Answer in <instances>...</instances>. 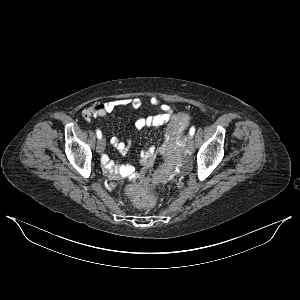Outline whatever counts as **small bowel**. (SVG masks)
<instances>
[{
  "label": "small bowel",
  "instance_id": "small-bowel-1",
  "mask_svg": "<svg viewBox=\"0 0 300 300\" xmlns=\"http://www.w3.org/2000/svg\"><path fill=\"white\" fill-rule=\"evenodd\" d=\"M151 104L158 107L159 112L152 116H147L140 118L135 121L134 127L137 130L143 129L145 127H162L165 125L173 111L172 109L160 102L156 98L150 100ZM142 104L141 99L132 98V99H114L105 103L96 104L85 108L82 111V116L85 120H90L95 117H107L112 111L119 107L131 105L133 108H139ZM112 146L122 155L126 154L129 149V142H122L117 138L111 140ZM155 157V148L148 147L142 150L140 156V164L142 166L148 167L151 166L154 162ZM104 170L113 178L122 179V178H131L135 176V170L130 165H124L110 160L108 156H103L101 159Z\"/></svg>",
  "mask_w": 300,
  "mask_h": 300
}]
</instances>
